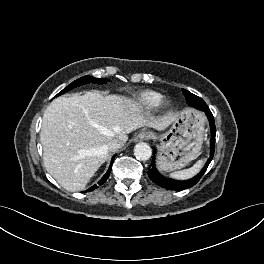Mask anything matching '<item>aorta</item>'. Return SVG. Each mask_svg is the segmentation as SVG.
<instances>
[{
    "label": "aorta",
    "mask_w": 264,
    "mask_h": 264,
    "mask_svg": "<svg viewBox=\"0 0 264 264\" xmlns=\"http://www.w3.org/2000/svg\"><path fill=\"white\" fill-rule=\"evenodd\" d=\"M134 155L137 159L146 161L148 160L152 155V149L149 146V144L145 142H140L135 145L134 147Z\"/></svg>",
    "instance_id": "762f6f07"
}]
</instances>
